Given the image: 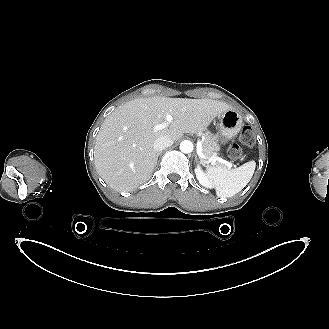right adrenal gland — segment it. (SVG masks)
Instances as JSON below:
<instances>
[{
  "label": "right adrenal gland",
  "instance_id": "right-adrenal-gland-1",
  "mask_svg": "<svg viewBox=\"0 0 329 329\" xmlns=\"http://www.w3.org/2000/svg\"><path fill=\"white\" fill-rule=\"evenodd\" d=\"M160 154H161V152H158V153L156 154V160H158V157H159Z\"/></svg>",
  "mask_w": 329,
  "mask_h": 329
}]
</instances>
